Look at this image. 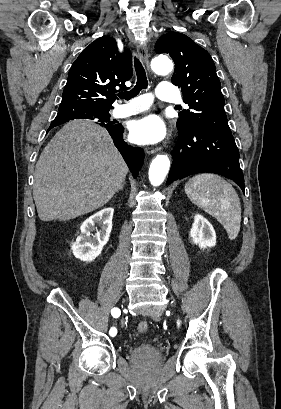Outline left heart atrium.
<instances>
[{
  "instance_id": "left-heart-atrium-1",
  "label": "left heart atrium",
  "mask_w": 281,
  "mask_h": 409,
  "mask_svg": "<svg viewBox=\"0 0 281 409\" xmlns=\"http://www.w3.org/2000/svg\"><path fill=\"white\" fill-rule=\"evenodd\" d=\"M167 134L163 120L155 114H146L133 121L130 127L131 140L139 145H153L164 140Z\"/></svg>"
}]
</instances>
